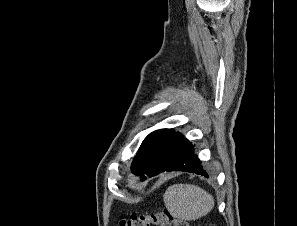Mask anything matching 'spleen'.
<instances>
[{
	"label": "spleen",
	"mask_w": 297,
	"mask_h": 226,
	"mask_svg": "<svg viewBox=\"0 0 297 226\" xmlns=\"http://www.w3.org/2000/svg\"><path fill=\"white\" fill-rule=\"evenodd\" d=\"M165 207L172 217L192 221L207 215L214 207V198L194 184H174L163 195Z\"/></svg>",
	"instance_id": "1"
}]
</instances>
